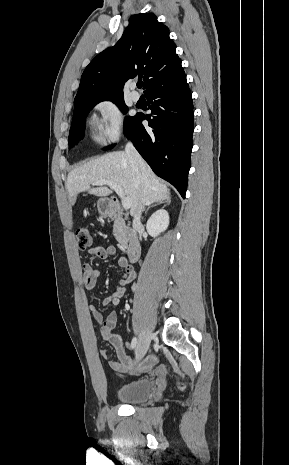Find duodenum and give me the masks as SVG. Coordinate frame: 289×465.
Segmentation results:
<instances>
[{
  "label": "duodenum",
  "instance_id": "410a0bca",
  "mask_svg": "<svg viewBox=\"0 0 289 465\" xmlns=\"http://www.w3.org/2000/svg\"><path fill=\"white\" fill-rule=\"evenodd\" d=\"M107 215L119 221L124 222V215L120 208V204L117 199H111L105 208ZM129 244L127 247V257L132 263L136 262L141 255V244L138 236L132 231L128 230Z\"/></svg>",
  "mask_w": 289,
  "mask_h": 465
}]
</instances>
